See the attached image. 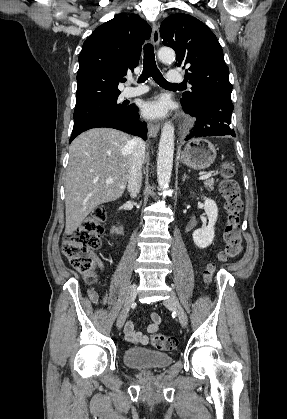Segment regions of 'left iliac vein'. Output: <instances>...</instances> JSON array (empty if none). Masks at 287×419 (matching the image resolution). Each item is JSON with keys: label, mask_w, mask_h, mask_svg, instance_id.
Here are the masks:
<instances>
[{"label": "left iliac vein", "mask_w": 287, "mask_h": 419, "mask_svg": "<svg viewBox=\"0 0 287 419\" xmlns=\"http://www.w3.org/2000/svg\"><path fill=\"white\" fill-rule=\"evenodd\" d=\"M163 303L166 307L173 309L177 313L181 326L186 327L188 323V318L176 294L172 292L169 298L165 299Z\"/></svg>", "instance_id": "4c4485c4"}]
</instances>
